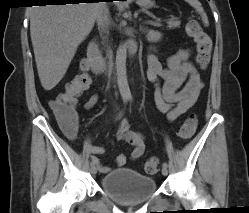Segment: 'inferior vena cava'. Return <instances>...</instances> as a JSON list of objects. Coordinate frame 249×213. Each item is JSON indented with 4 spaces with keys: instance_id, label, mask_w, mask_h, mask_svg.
I'll use <instances>...</instances> for the list:
<instances>
[{
    "instance_id": "inferior-vena-cava-1",
    "label": "inferior vena cava",
    "mask_w": 249,
    "mask_h": 213,
    "mask_svg": "<svg viewBox=\"0 0 249 213\" xmlns=\"http://www.w3.org/2000/svg\"><path fill=\"white\" fill-rule=\"evenodd\" d=\"M106 11H108L107 8L104 9V10L102 11V13H100V14L98 15V17H97V23H98V26L101 27L102 29L108 30L109 19L106 18V16H105ZM112 56H113L112 50H109V51H108V58H109V61H110V67L113 66Z\"/></svg>"
}]
</instances>
